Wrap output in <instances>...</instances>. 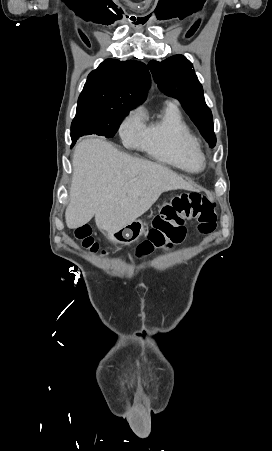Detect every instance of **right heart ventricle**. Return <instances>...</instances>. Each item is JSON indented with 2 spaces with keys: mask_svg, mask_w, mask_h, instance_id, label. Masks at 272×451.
I'll return each mask as SVG.
<instances>
[{
  "mask_svg": "<svg viewBox=\"0 0 272 451\" xmlns=\"http://www.w3.org/2000/svg\"><path fill=\"white\" fill-rule=\"evenodd\" d=\"M137 144L157 161L173 166L185 174L198 171L192 153L196 139L173 103L166 107L158 120L145 128Z\"/></svg>",
  "mask_w": 272,
  "mask_h": 451,
  "instance_id": "1",
  "label": "right heart ventricle"
}]
</instances>
